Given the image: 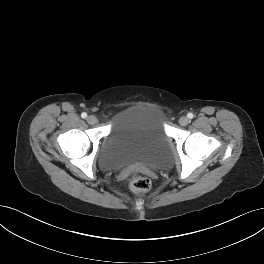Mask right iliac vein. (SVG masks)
Segmentation results:
<instances>
[{
	"label": "right iliac vein",
	"instance_id": "right-iliac-vein-1",
	"mask_svg": "<svg viewBox=\"0 0 264 264\" xmlns=\"http://www.w3.org/2000/svg\"><path fill=\"white\" fill-rule=\"evenodd\" d=\"M87 122L89 124L93 125L97 122V118L94 115H90L87 117Z\"/></svg>",
	"mask_w": 264,
	"mask_h": 264
}]
</instances>
